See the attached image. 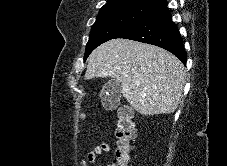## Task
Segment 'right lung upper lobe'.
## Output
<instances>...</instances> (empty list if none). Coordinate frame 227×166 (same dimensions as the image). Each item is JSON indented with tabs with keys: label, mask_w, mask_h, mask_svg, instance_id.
Returning a JSON list of instances; mask_svg holds the SVG:
<instances>
[{
	"label": "right lung upper lobe",
	"mask_w": 227,
	"mask_h": 166,
	"mask_svg": "<svg viewBox=\"0 0 227 166\" xmlns=\"http://www.w3.org/2000/svg\"><path fill=\"white\" fill-rule=\"evenodd\" d=\"M165 3H166V0H108L107 3L102 8L112 7L120 4L151 5L159 8Z\"/></svg>",
	"instance_id": "cb5924a9"
}]
</instances>
